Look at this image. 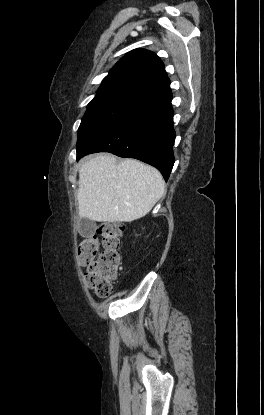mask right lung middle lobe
Returning a JSON list of instances; mask_svg holds the SVG:
<instances>
[{
    "label": "right lung middle lobe",
    "instance_id": "obj_1",
    "mask_svg": "<svg viewBox=\"0 0 264 415\" xmlns=\"http://www.w3.org/2000/svg\"><path fill=\"white\" fill-rule=\"evenodd\" d=\"M143 101L124 94L96 95L88 104L78 129L77 150L87 146L132 107Z\"/></svg>",
    "mask_w": 264,
    "mask_h": 415
}]
</instances>
